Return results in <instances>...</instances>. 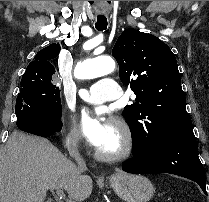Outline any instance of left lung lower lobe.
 Segmentation results:
<instances>
[{"mask_svg": "<svg viewBox=\"0 0 209 202\" xmlns=\"http://www.w3.org/2000/svg\"><path fill=\"white\" fill-rule=\"evenodd\" d=\"M133 158L122 169L133 174L171 173L199 184L205 194L206 177L198 157L193 130L167 138L158 147L132 144Z\"/></svg>", "mask_w": 209, "mask_h": 202, "instance_id": "left-lung-lower-lobe-1", "label": "left lung lower lobe"}]
</instances>
